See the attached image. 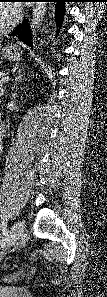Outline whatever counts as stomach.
<instances>
[{
	"instance_id": "1",
	"label": "stomach",
	"mask_w": 107,
	"mask_h": 297,
	"mask_svg": "<svg viewBox=\"0 0 107 297\" xmlns=\"http://www.w3.org/2000/svg\"><path fill=\"white\" fill-rule=\"evenodd\" d=\"M22 53L21 47L16 44H8L1 49L2 58L12 62L20 61Z\"/></svg>"
}]
</instances>
